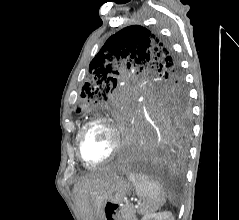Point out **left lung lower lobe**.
I'll use <instances>...</instances> for the list:
<instances>
[{
	"mask_svg": "<svg viewBox=\"0 0 239 220\" xmlns=\"http://www.w3.org/2000/svg\"><path fill=\"white\" fill-rule=\"evenodd\" d=\"M127 136L125 159L134 165L182 164L189 136L185 112L132 110L119 118Z\"/></svg>",
	"mask_w": 239,
	"mask_h": 220,
	"instance_id": "0a47b994",
	"label": "left lung lower lobe"
}]
</instances>
